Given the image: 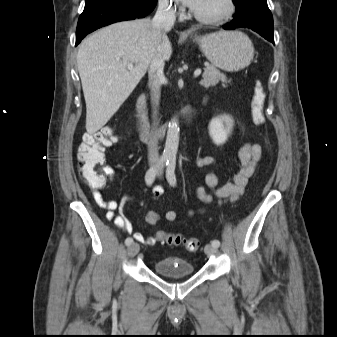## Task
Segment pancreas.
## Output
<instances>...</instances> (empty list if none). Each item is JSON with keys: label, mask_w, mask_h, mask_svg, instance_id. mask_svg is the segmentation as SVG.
<instances>
[{"label": "pancreas", "mask_w": 337, "mask_h": 337, "mask_svg": "<svg viewBox=\"0 0 337 337\" xmlns=\"http://www.w3.org/2000/svg\"><path fill=\"white\" fill-rule=\"evenodd\" d=\"M219 81L222 82L223 87H226V84L230 82V80H227L226 75L221 73L220 70H218L214 65L205 63L203 79L201 80L200 84L205 88H208L210 86L217 85Z\"/></svg>", "instance_id": "cf45deb5"}]
</instances>
